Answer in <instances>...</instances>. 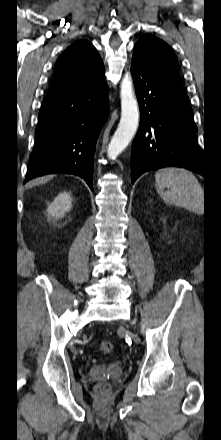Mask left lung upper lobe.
<instances>
[{
	"instance_id": "5c2ea615",
	"label": "left lung upper lobe",
	"mask_w": 221,
	"mask_h": 440,
	"mask_svg": "<svg viewBox=\"0 0 221 440\" xmlns=\"http://www.w3.org/2000/svg\"><path fill=\"white\" fill-rule=\"evenodd\" d=\"M133 54L138 55L158 75L182 84L177 58L164 41L152 35H144L135 44Z\"/></svg>"
}]
</instances>
